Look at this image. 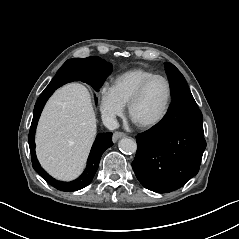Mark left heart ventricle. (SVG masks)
Listing matches in <instances>:
<instances>
[{"label": "left heart ventricle", "mask_w": 239, "mask_h": 239, "mask_svg": "<svg viewBox=\"0 0 239 239\" xmlns=\"http://www.w3.org/2000/svg\"><path fill=\"white\" fill-rule=\"evenodd\" d=\"M168 97L167 84L162 79L153 81L134 109V118L139 122H150L164 110Z\"/></svg>", "instance_id": "obj_1"}]
</instances>
